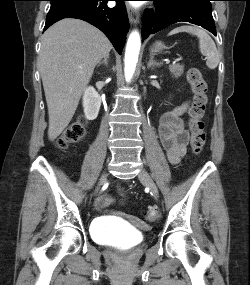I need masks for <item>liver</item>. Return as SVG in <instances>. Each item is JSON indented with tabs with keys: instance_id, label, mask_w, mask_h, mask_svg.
I'll use <instances>...</instances> for the list:
<instances>
[{
	"instance_id": "liver-1",
	"label": "liver",
	"mask_w": 250,
	"mask_h": 285,
	"mask_svg": "<svg viewBox=\"0 0 250 285\" xmlns=\"http://www.w3.org/2000/svg\"><path fill=\"white\" fill-rule=\"evenodd\" d=\"M111 49L101 31L77 19H63L45 31L38 65L48 106L49 140L68 126L95 66Z\"/></svg>"
}]
</instances>
